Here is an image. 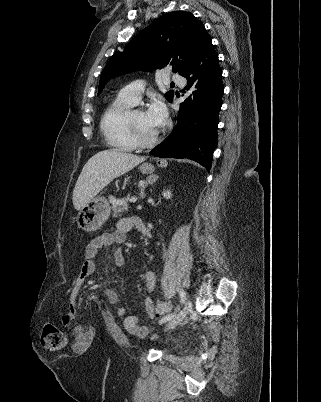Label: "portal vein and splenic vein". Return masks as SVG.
<instances>
[{"instance_id": "1", "label": "portal vein and splenic vein", "mask_w": 321, "mask_h": 402, "mask_svg": "<svg viewBox=\"0 0 321 402\" xmlns=\"http://www.w3.org/2000/svg\"><path fill=\"white\" fill-rule=\"evenodd\" d=\"M130 202L135 203L137 202V197L136 196H132L130 199Z\"/></svg>"}]
</instances>
